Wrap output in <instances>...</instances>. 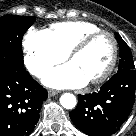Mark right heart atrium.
Wrapping results in <instances>:
<instances>
[{
    "instance_id": "right-heart-atrium-1",
    "label": "right heart atrium",
    "mask_w": 136,
    "mask_h": 136,
    "mask_svg": "<svg viewBox=\"0 0 136 136\" xmlns=\"http://www.w3.org/2000/svg\"><path fill=\"white\" fill-rule=\"evenodd\" d=\"M23 50L25 67L36 77L65 59L44 30H28L23 37Z\"/></svg>"
}]
</instances>
